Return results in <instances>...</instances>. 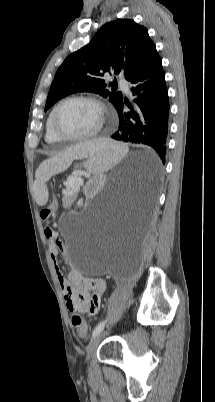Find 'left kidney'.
I'll use <instances>...</instances> for the list:
<instances>
[{"mask_svg":"<svg viewBox=\"0 0 215 402\" xmlns=\"http://www.w3.org/2000/svg\"><path fill=\"white\" fill-rule=\"evenodd\" d=\"M105 176V171L103 169H98L96 171V178H89L88 184L85 185L86 193H96L98 187L103 186V177Z\"/></svg>","mask_w":215,"mask_h":402,"instance_id":"5707ae66","label":"left kidney"}]
</instances>
